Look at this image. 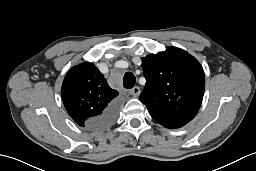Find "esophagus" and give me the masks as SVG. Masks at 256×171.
Wrapping results in <instances>:
<instances>
[{
  "instance_id": "1",
  "label": "esophagus",
  "mask_w": 256,
  "mask_h": 171,
  "mask_svg": "<svg viewBox=\"0 0 256 171\" xmlns=\"http://www.w3.org/2000/svg\"><path fill=\"white\" fill-rule=\"evenodd\" d=\"M130 95H132L133 97H138L140 95V88L138 86L133 87L130 90Z\"/></svg>"
}]
</instances>
